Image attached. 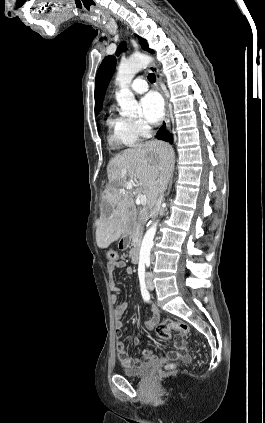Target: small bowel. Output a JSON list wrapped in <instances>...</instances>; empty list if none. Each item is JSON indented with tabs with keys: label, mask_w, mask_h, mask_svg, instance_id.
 Segmentation results:
<instances>
[{
	"label": "small bowel",
	"mask_w": 265,
	"mask_h": 423,
	"mask_svg": "<svg viewBox=\"0 0 265 423\" xmlns=\"http://www.w3.org/2000/svg\"><path fill=\"white\" fill-rule=\"evenodd\" d=\"M122 268H126L128 273L133 272V267L127 266L125 261H123L121 259H118L115 262H108V264H107L108 283H109V288L112 292L111 296H110V300H111L112 303H116V301L118 300V298L120 296V290L115 284L113 272L116 269H122ZM149 307H150V311H151V316L146 321L145 326H146L147 329L152 330L156 327V325L159 322L160 311L153 304H150ZM127 309H128V304L126 302H123V303L117 305L115 307L114 311H113L116 337L119 340V342L117 343V351H118L120 361L124 366H126V367H140L143 364H145V361L144 360H137V359L130 357L127 353V350H126L124 343L122 341H120V339L122 338V328H123L122 316L124 315V313L126 312ZM136 343H138V339L136 340ZM183 351H185L183 344L179 342V343H177L176 351L173 352L170 356H172V357L181 356ZM143 355H144L145 360H147V361H154V360L157 359V356L153 353L152 350H149V349L144 350Z\"/></svg>",
	"instance_id": "1"
}]
</instances>
